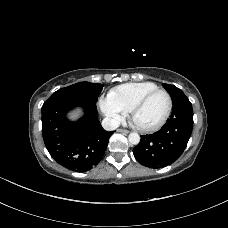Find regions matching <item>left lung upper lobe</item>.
Masks as SVG:
<instances>
[{
	"instance_id": "left-lung-upper-lobe-1",
	"label": "left lung upper lobe",
	"mask_w": 228,
	"mask_h": 228,
	"mask_svg": "<svg viewBox=\"0 0 228 228\" xmlns=\"http://www.w3.org/2000/svg\"><path fill=\"white\" fill-rule=\"evenodd\" d=\"M165 89L167 91H169L171 97H172V100H173V105L178 103L180 100H183L185 98H187L184 93L182 92V90H180L179 88H177L176 86L174 85H169V84H163Z\"/></svg>"
}]
</instances>
